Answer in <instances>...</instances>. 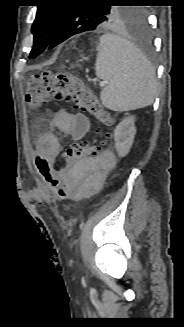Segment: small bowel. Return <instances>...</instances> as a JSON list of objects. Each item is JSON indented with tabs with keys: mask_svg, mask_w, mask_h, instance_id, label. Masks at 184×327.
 Instances as JSON below:
<instances>
[{
	"mask_svg": "<svg viewBox=\"0 0 184 327\" xmlns=\"http://www.w3.org/2000/svg\"><path fill=\"white\" fill-rule=\"evenodd\" d=\"M90 131V122L83 113H71L60 110L49 125L48 131L42 134L37 145L38 153H49L50 163L40 164L36 157V165H54L58 160L59 182L65 183L70 192L69 199L78 200L84 196L98 192L108 173L116 165L115 155L108 150L94 157L93 153H63L59 136L69 135L72 140L84 139ZM75 160H85L76 164ZM44 173V172H41ZM53 186V185H51ZM25 194L29 199H35V206H44L49 198L48 192H40L39 188H26Z\"/></svg>",
	"mask_w": 184,
	"mask_h": 327,
	"instance_id": "c3829d8e",
	"label": "small bowel"
}]
</instances>
